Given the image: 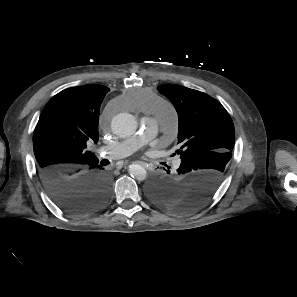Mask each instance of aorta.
<instances>
[{"label":"aorta","mask_w":297,"mask_h":297,"mask_svg":"<svg viewBox=\"0 0 297 297\" xmlns=\"http://www.w3.org/2000/svg\"><path fill=\"white\" fill-rule=\"evenodd\" d=\"M111 128L114 134L126 138L135 133L137 122L133 115L129 113H119L112 119ZM129 173L138 181L145 180L147 176L145 168L138 164H131L129 166Z\"/></svg>","instance_id":"1"}]
</instances>
